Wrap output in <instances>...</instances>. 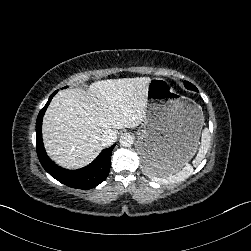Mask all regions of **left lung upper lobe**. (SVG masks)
Instances as JSON below:
<instances>
[{
    "label": "left lung upper lobe",
    "instance_id": "obj_1",
    "mask_svg": "<svg viewBox=\"0 0 251 251\" xmlns=\"http://www.w3.org/2000/svg\"><path fill=\"white\" fill-rule=\"evenodd\" d=\"M184 84L187 89L198 92V89L190 82L185 81Z\"/></svg>",
    "mask_w": 251,
    "mask_h": 251
}]
</instances>
